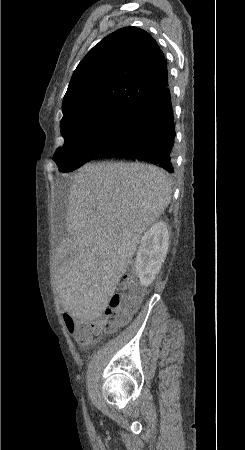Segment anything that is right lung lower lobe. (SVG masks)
Masks as SVG:
<instances>
[{
    "label": "right lung lower lobe",
    "instance_id": "right-lung-lower-lobe-1",
    "mask_svg": "<svg viewBox=\"0 0 245 450\" xmlns=\"http://www.w3.org/2000/svg\"><path fill=\"white\" fill-rule=\"evenodd\" d=\"M174 117L168 86L136 109L122 138L91 160L105 157L138 159L173 173Z\"/></svg>",
    "mask_w": 245,
    "mask_h": 450
}]
</instances>
